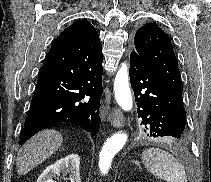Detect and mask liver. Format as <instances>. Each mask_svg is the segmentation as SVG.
I'll use <instances>...</instances> for the list:
<instances>
[{
    "instance_id": "liver-1",
    "label": "liver",
    "mask_w": 211,
    "mask_h": 182,
    "mask_svg": "<svg viewBox=\"0 0 211 182\" xmlns=\"http://www.w3.org/2000/svg\"><path fill=\"white\" fill-rule=\"evenodd\" d=\"M61 133L43 130L27 141L19 150L16 166L18 174L25 175L44 162L62 145Z\"/></svg>"
}]
</instances>
